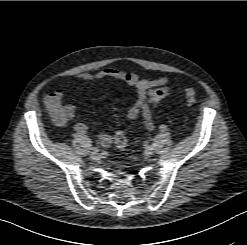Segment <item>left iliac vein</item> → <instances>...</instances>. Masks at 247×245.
<instances>
[{"label": "left iliac vein", "mask_w": 247, "mask_h": 245, "mask_svg": "<svg viewBox=\"0 0 247 245\" xmlns=\"http://www.w3.org/2000/svg\"><path fill=\"white\" fill-rule=\"evenodd\" d=\"M153 153H154V148L152 146H148L144 150V155L146 157H151L153 155Z\"/></svg>", "instance_id": "obj_1"}]
</instances>
